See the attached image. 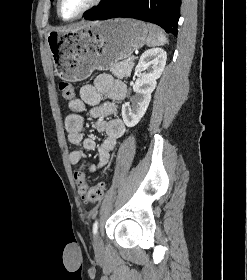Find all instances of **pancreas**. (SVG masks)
Instances as JSON below:
<instances>
[{"label": "pancreas", "mask_w": 247, "mask_h": 280, "mask_svg": "<svg viewBox=\"0 0 247 280\" xmlns=\"http://www.w3.org/2000/svg\"><path fill=\"white\" fill-rule=\"evenodd\" d=\"M133 66V61H121L118 62L114 66V68L111 69V72L114 76L118 78L128 77L131 74Z\"/></svg>", "instance_id": "cf45deb5"}]
</instances>
